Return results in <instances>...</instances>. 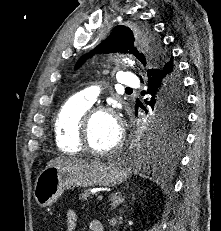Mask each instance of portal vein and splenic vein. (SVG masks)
<instances>
[{
	"label": "portal vein and splenic vein",
	"instance_id": "1",
	"mask_svg": "<svg viewBox=\"0 0 221 231\" xmlns=\"http://www.w3.org/2000/svg\"><path fill=\"white\" fill-rule=\"evenodd\" d=\"M96 198H97V200H102L103 199V195H97Z\"/></svg>",
	"mask_w": 221,
	"mask_h": 231
}]
</instances>
